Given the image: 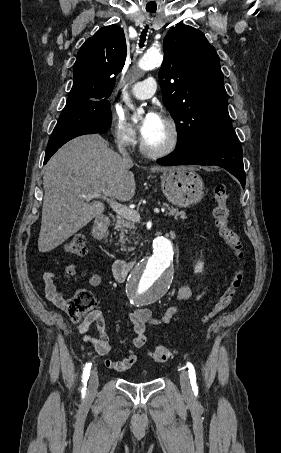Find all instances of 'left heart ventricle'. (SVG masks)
<instances>
[{"label": "left heart ventricle", "instance_id": "obj_1", "mask_svg": "<svg viewBox=\"0 0 281 453\" xmlns=\"http://www.w3.org/2000/svg\"><path fill=\"white\" fill-rule=\"evenodd\" d=\"M147 145L152 149L164 148L170 142V134L161 121L144 137Z\"/></svg>", "mask_w": 281, "mask_h": 453}]
</instances>
